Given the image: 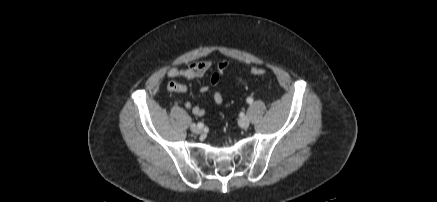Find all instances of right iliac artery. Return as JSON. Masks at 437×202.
Wrapping results in <instances>:
<instances>
[{"mask_svg":"<svg viewBox=\"0 0 437 202\" xmlns=\"http://www.w3.org/2000/svg\"><path fill=\"white\" fill-rule=\"evenodd\" d=\"M197 125H198L199 127H203V123H201V122H199Z\"/></svg>","mask_w":437,"mask_h":202,"instance_id":"obj_1","label":"right iliac artery"}]
</instances>
